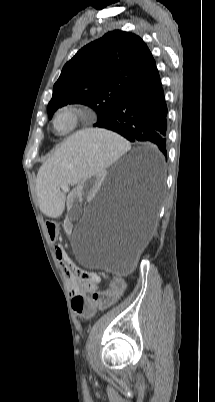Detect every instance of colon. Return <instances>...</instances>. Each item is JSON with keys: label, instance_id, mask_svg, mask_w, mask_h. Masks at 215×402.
Wrapping results in <instances>:
<instances>
[{"label": "colon", "instance_id": "obj_1", "mask_svg": "<svg viewBox=\"0 0 215 402\" xmlns=\"http://www.w3.org/2000/svg\"><path fill=\"white\" fill-rule=\"evenodd\" d=\"M50 242L55 245L60 236L59 225L55 221H48L46 224ZM64 263V262H63ZM68 269L83 279L92 278V272L79 269L73 265H68ZM125 281L121 278L114 279L110 284V289L106 291H90L89 297L78 295L72 300V307L76 313L81 317H90L96 309L105 310L111 307L117 298H124L125 296Z\"/></svg>", "mask_w": 215, "mask_h": 402}]
</instances>
